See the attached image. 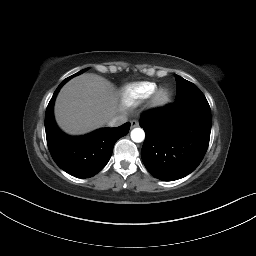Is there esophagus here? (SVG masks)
<instances>
[{"label": "esophagus", "instance_id": "obj_1", "mask_svg": "<svg viewBox=\"0 0 256 256\" xmlns=\"http://www.w3.org/2000/svg\"><path fill=\"white\" fill-rule=\"evenodd\" d=\"M131 128L137 127L139 125L138 121L132 120L131 122Z\"/></svg>", "mask_w": 256, "mask_h": 256}]
</instances>
